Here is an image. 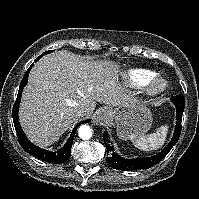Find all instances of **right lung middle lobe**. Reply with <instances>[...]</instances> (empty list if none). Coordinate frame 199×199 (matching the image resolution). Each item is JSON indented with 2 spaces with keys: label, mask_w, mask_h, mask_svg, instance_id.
<instances>
[{
  "label": "right lung middle lobe",
  "mask_w": 199,
  "mask_h": 199,
  "mask_svg": "<svg viewBox=\"0 0 199 199\" xmlns=\"http://www.w3.org/2000/svg\"><path fill=\"white\" fill-rule=\"evenodd\" d=\"M50 52H53V50L44 52V53L42 54V56L45 55V54H48V53H50Z\"/></svg>",
  "instance_id": "dd1d6c3e"
}]
</instances>
